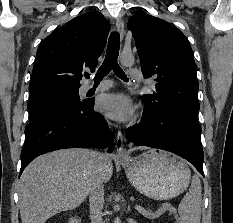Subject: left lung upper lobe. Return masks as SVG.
I'll use <instances>...</instances> for the list:
<instances>
[{"mask_svg":"<svg viewBox=\"0 0 233 223\" xmlns=\"http://www.w3.org/2000/svg\"><path fill=\"white\" fill-rule=\"evenodd\" d=\"M145 78L155 77V90L143 96V113L150 117L169 113L198 115L199 88L193 52L185 35L168 22L136 13L128 22Z\"/></svg>","mask_w":233,"mask_h":223,"instance_id":"obj_1","label":"left lung upper lobe"}]
</instances>
